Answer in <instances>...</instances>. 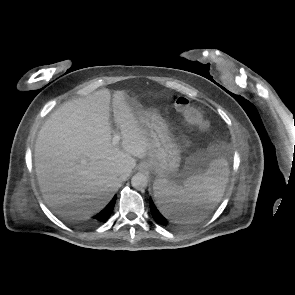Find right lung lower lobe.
Returning a JSON list of instances; mask_svg holds the SVG:
<instances>
[{
  "label": "right lung lower lobe",
  "instance_id": "1",
  "mask_svg": "<svg viewBox=\"0 0 295 295\" xmlns=\"http://www.w3.org/2000/svg\"><path fill=\"white\" fill-rule=\"evenodd\" d=\"M114 205H115V199L111 201V203L108 205V207L106 209H104L102 212L95 215L92 218V222L99 223V222L106 221L110 217V214L113 211Z\"/></svg>",
  "mask_w": 295,
  "mask_h": 295
}]
</instances>
